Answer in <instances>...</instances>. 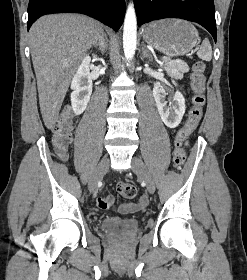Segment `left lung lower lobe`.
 Masks as SVG:
<instances>
[{"label":"left lung lower lobe","mask_w":247,"mask_h":280,"mask_svg":"<svg viewBox=\"0 0 247 280\" xmlns=\"http://www.w3.org/2000/svg\"><path fill=\"white\" fill-rule=\"evenodd\" d=\"M134 3L139 26L157 19L181 18L199 23L216 41L213 0H134Z\"/></svg>","instance_id":"left-lung-lower-lobe-1"}]
</instances>
